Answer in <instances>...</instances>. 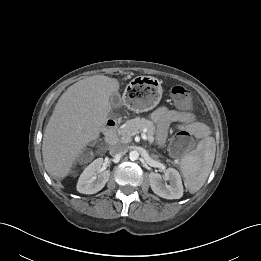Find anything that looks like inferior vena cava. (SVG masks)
Returning a JSON list of instances; mask_svg holds the SVG:
<instances>
[{"instance_id":"inferior-vena-cava-1","label":"inferior vena cava","mask_w":261,"mask_h":261,"mask_svg":"<svg viewBox=\"0 0 261 261\" xmlns=\"http://www.w3.org/2000/svg\"><path fill=\"white\" fill-rule=\"evenodd\" d=\"M127 152V147L124 145L117 144L110 148V154L114 157H122Z\"/></svg>"}]
</instances>
